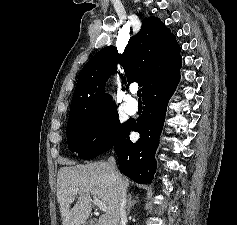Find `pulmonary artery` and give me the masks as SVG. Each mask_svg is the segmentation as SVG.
<instances>
[{
  "label": "pulmonary artery",
  "mask_w": 237,
  "mask_h": 225,
  "mask_svg": "<svg viewBox=\"0 0 237 225\" xmlns=\"http://www.w3.org/2000/svg\"><path fill=\"white\" fill-rule=\"evenodd\" d=\"M131 92L134 93V89H132ZM137 110H138L137 101L132 96H129L125 101V111L129 115H133L137 112Z\"/></svg>",
  "instance_id": "e3ab8cb5"
}]
</instances>
